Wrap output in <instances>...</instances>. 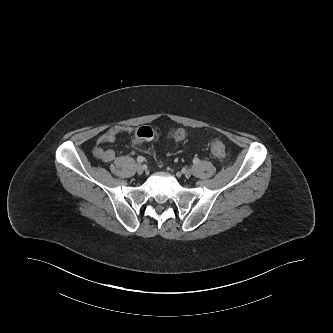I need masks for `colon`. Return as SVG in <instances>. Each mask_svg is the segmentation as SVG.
<instances>
[{
  "label": "colon",
  "mask_w": 333,
  "mask_h": 333,
  "mask_svg": "<svg viewBox=\"0 0 333 333\" xmlns=\"http://www.w3.org/2000/svg\"><path fill=\"white\" fill-rule=\"evenodd\" d=\"M161 134L162 130L159 127L141 126L135 132L134 139L137 141H145L158 137ZM170 136L174 139H182L184 133L179 128H173L170 130ZM211 152L214 157L221 161L225 160L228 156L224 143L217 139H214L211 142Z\"/></svg>",
  "instance_id": "1"
}]
</instances>
